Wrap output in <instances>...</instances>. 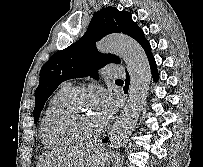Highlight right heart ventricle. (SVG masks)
<instances>
[{
    "label": "right heart ventricle",
    "instance_id": "1",
    "mask_svg": "<svg viewBox=\"0 0 203 167\" xmlns=\"http://www.w3.org/2000/svg\"><path fill=\"white\" fill-rule=\"evenodd\" d=\"M76 91L70 85L61 86L55 94L49 99L48 104L44 110V113L40 122V137L42 143L48 147H55L64 145L67 142L52 135L48 129V121L53 112L74 92Z\"/></svg>",
    "mask_w": 203,
    "mask_h": 167
}]
</instances>
